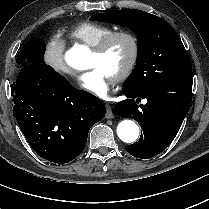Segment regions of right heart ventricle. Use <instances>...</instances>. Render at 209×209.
<instances>
[{"label":"right heart ventricle","mask_w":209,"mask_h":209,"mask_svg":"<svg viewBox=\"0 0 209 209\" xmlns=\"http://www.w3.org/2000/svg\"><path fill=\"white\" fill-rule=\"evenodd\" d=\"M112 32L114 29L110 25L85 21L69 28L66 33L70 38L94 47Z\"/></svg>","instance_id":"e07e8e85"}]
</instances>
